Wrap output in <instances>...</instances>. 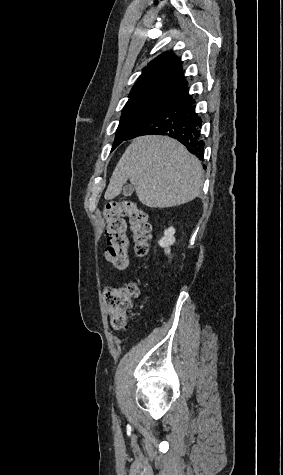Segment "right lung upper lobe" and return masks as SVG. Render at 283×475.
I'll return each mask as SVG.
<instances>
[{"label":"right lung upper lobe","mask_w":283,"mask_h":475,"mask_svg":"<svg viewBox=\"0 0 283 475\" xmlns=\"http://www.w3.org/2000/svg\"><path fill=\"white\" fill-rule=\"evenodd\" d=\"M186 84L180 60L173 52H165L143 69V75L133 86L129 98L160 89L178 90Z\"/></svg>","instance_id":"1"}]
</instances>
